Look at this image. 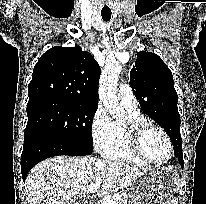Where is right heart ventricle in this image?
Wrapping results in <instances>:
<instances>
[{
  "mask_svg": "<svg viewBox=\"0 0 206 204\" xmlns=\"http://www.w3.org/2000/svg\"><path fill=\"white\" fill-rule=\"evenodd\" d=\"M127 116L123 121H111L110 134L105 146L100 151L101 155L109 160L135 164L147 165L148 163L141 159L132 150L126 132V123L133 120L146 119L137 108L124 105Z\"/></svg>",
  "mask_w": 206,
  "mask_h": 204,
  "instance_id": "1",
  "label": "right heart ventricle"
}]
</instances>
